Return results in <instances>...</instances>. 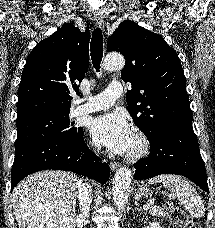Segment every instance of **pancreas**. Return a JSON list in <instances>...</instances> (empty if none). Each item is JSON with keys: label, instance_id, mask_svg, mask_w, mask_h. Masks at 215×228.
Here are the masks:
<instances>
[{"label": "pancreas", "instance_id": "cf45deb5", "mask_svg": "<svg viewBox=\"0 0 215 228\" xmlns=\"http://www.w3.org/2000/svg\"><path fill=\"white\" fill-rule=\"evenodd\" d=\"M150 216H157V218H165L166 214L162 208H151L149 210Z\"/></svg>", "mask_w": 215, "mask_h": 228}]
</instances>
